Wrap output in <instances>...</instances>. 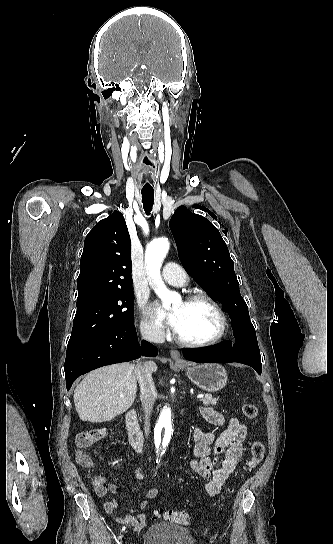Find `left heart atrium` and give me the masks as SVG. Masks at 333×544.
I'll return each mask as SVG.
<instances>
[{
  "label": "left heart atrium",
  "mask_w": 333,
  "mask_h": 544,
  "mask_svg": "<svg viewBox=\"0 0 333 544\" xmlns=\"http://www.w3.org/2000/svg\"><path fill=\"white\" fill-rule=\"evenodd\" d=\"M156 315L160 320L167 322L172 328L176 329L179 324V313L173 311L171 313L165 312L161 307H156Z\"/></svg>",
  "instance_id": "left-heart-atrium-1"
}]
</instances>
